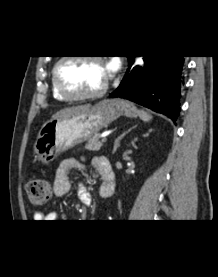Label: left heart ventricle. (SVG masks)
<instances>
[{
  "instance_id": "left-heart-ventricle-1",
  "label": "left heart ventricle",
  "mask_w": 218,
  "mask_h": 277,
  "mask_svg": "<svg viewBox=\"0 0 218 277\" xmlns=\"http://www.w3.org/2000/svg\"><path fill=\"white\" fill-rule=\"evenodd\" d=\"M59 74L64 87L76 94L99 89L108 77L103 63L81 59L64 61L59 68Z\"/></svg>"
}]
</instances>
